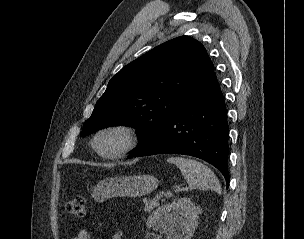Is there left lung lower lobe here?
<instances>
[{"label": "left lung lower lobe", "mask_w": 304, "mask_h": 239, "mask_svg": "<svg viewBox=\"0 0 304 239\" xmlns=\"http://www.w3.org/2000/svg\"><path fill=\"white\" fill-rule=\"evenodd\" d=\"M227 112L216 74L172 117L147 145L129 157L175 153L201 158L229 183Z\"/></svg>", "instance_id": "obj_1"}]
</instances>
